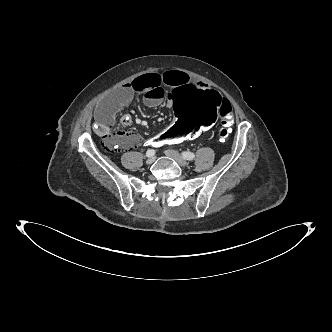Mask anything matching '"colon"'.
<instances>
[{"label":"colon","mask_w":332,"mask_h":332,"mask_svg":"<svg viewBox=\"0 0 332 332\" xmlns=\"http://www.w3.org/2000/svg\"><path fill=\"white\" fill-rule=\"evenodd\" d=\"M168 101V119L171 128L157 133L149 139L155 147L166 142L176 144L180 139H195L204 135L216 122L220 121L218 142H223L229 135L234 122L231 106L224 95L198 82H188L174 88ZM114 114L107 117L104 127L98 126L103 133L102 144L110 152H117L123 146L121 136L112 129ZM141 140L140 144L149 145Z\"/></svg>","instance_id":"5ec220e1"}]
</instances>
